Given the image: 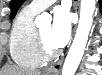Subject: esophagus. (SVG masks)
<instances>
[{
  "label": "esophagus",
  "instance_id": "obj_1",
  "mask_svg": "<svg viewBox=\"0 0 102 75\" xmlns=\"http://www.w3.org/2000/svg\"><path fill=\"white\" fill-rule=\"evenodd\" d=\"M75 10H76V12L79 13V11H80V2L79 1H77V3H76ZM61 63H62V60H60L58 62V65H60ZM47 72L57 75L58 72H59V70L55 66H52V67H50V68L47 69Z\"/></svg>",
  "mask_w": 102,
  "mask_h": 75
}]
</instances>
